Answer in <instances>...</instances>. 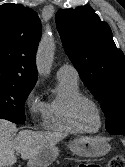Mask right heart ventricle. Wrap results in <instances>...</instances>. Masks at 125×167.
<instances>
[{"label":"right heart ventricle","mask_w":125,"mask_h":167,"mask_svg":"<svg viewBox=\"0 0 125 167\" xmlns=\"http://www.w3.org/2000/svg\"><path fill=\"white\" fill-rule=\"evenodd\" d=\"M80 95L82 92L78 80L58 79L57 95L45 106L43 128L66 134L79 133L71 120L70 106Z\"/></svg>","instance_id":"right-heart-ventricle-1"}]
</instances>
